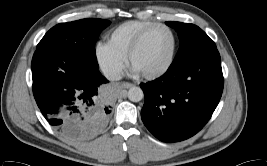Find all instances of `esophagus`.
Masks as SVG:
<instances>
[{
	"label": "esophagus",
	"instance_id": "1",
	"mask_svg": "<svg viewBox=\"0 0 267 166\" xmlns=\"http://www.w3.org/2000/svg\"><path fill=\"white\" fill-rule=\"evenodd\" d=\"M122 86L125 87V88H130V87L133 86V84H132V83H128V82H124V83L122 84Z\"/></svg>",
	"mask_w": 267,
	"mask_h": 166
}]
</instances>
